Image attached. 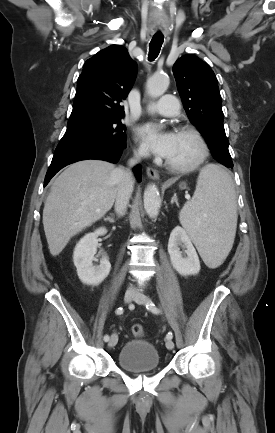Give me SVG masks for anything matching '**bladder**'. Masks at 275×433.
<instances>
[{
  "label": "bladder",
  "mask_w": 275,
  "mask_h": 433,
  "mask_svg": "<svg viewBox=\"0 0 275 433\" xmlns=\"http://www.w3.org/2000/svg\"><path fill=\"white\" fill-rule=\"evenodd\" d=\"M117 360L121 368L133 374H141L160 368L156 347L145 340L126 341L118 353Z\"/></svg>",
  "instance_id": "1"
}]
</instances>
